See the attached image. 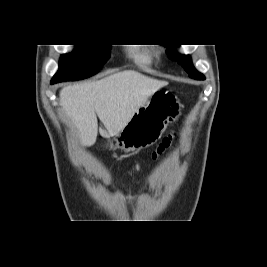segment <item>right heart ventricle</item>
<instances>
[{"label": "right heart ventricle", "mask_w": 267, "mask_h": 267, "mask_svg": "<svg viewBox=\"0 0 267 267\" xmlns=\"http://www.w3.org/2000/svg\"><path fill=\"white\" fill-rule=\"evenodd\" d=\"M128 57L140 67H148L152 65L154 54L150 49L132 47L127 52Z\"/></svg>", "instance_id": "obj_1"}]
</instances>
